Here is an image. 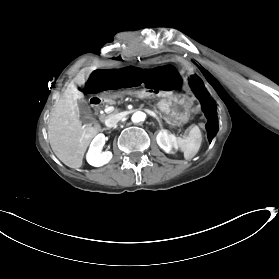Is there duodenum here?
I'll return each mask as SVG.
<instances>
[{"mask_svg": "<svg viewBox=\"0 0 279 279\" xmlns=\"http://www.w3.org/2000/svg\"><path fill=\"white\" fill-rule=\"evenodd\" d=\"M157 95H158V91L156 89H153V90L136 92L134 94V97L136 99H140L146 97H156ZM87 102L89 106L96 111L101 110L104 104L102 97L96 93L89 95Z\"/></svg>", "mask_w": 279, "mask_h": 279, "instance_id": "1", "label": "duodenum"}]
</instances>
